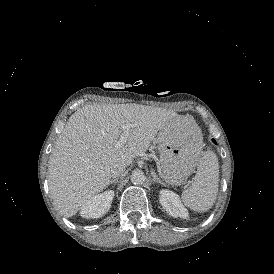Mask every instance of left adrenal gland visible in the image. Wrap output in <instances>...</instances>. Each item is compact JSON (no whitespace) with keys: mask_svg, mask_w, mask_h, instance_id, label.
<instances>
[{"mask_svg":"<svg viewBox=\"0 0 274 274\" xmlns=\"http://www.w3.org/2000/svg\"><path fill=\"white\" fill-rule=\"evenodd\" d=\"M151 175L153 177V181L154 182H158L160 184H163V182L160 180V178H158V176L156 175L155 171L152 169L151 170Z\"/></svg>","mask_w":274,"mask_h":274,"instance_id":"left-adrenal-gland-1","label":"left adrenal gland"}]
</instances>
